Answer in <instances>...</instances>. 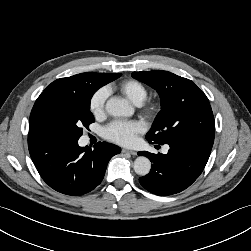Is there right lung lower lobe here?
I'll return each instance as SVG.
<instances>
[{
    "mask_svg": "<svg viewBox=\"0 0 251 251\" xmlns=\"http://www.w3.org/2000/svg\"><path fill=\"white\" fill-rule=\"evenodd\" d=\"M32 161L43 180L54 190L72 196L83 195L98 186L109 160L120 147L99 142L80 147L78 139H59L37 133L28 134Z\"/></svg>",
    "mask_w": 251,
    "mask_h": 251,
    "instance_id": "1",
    "label": "right lung lower lobe"
}]
</instances>
